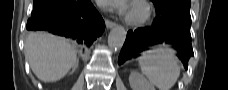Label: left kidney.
I'll return each mask as SVG.
<instances>
[{"instance_id":"left-kidney-1","label":"left kidney","mask_w":228,"mask_h":90,"mask_svg":"<svg viewBox=\"0 0 228 90\" xmlns=\"http://www.w3.org/2000/svg\"><path fill=\"white\" fill-rule=\"evenodd\" d=\"M129 83L132 90H155L154 86L137 71L131 72Z\"/></svg>"}]
</instances>
